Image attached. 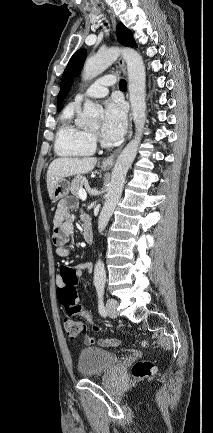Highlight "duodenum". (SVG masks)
<instances>
[{"label":"duodenum","instance_id":"410a0bca","mask_svg":"<svg viewBox=\"0 0 213 433\" xmlns=\"http://www.w3.org/2000/svg\"><path fill=\"white\" fill-rule=\"evenodd\" d=\"M83 235H84V239L87 243H89V244L93 243L94 236H93V233H92L90 226H85L83 228Z\"/></svg>","mask_w":213,"mask_h":433}]
</instances>
